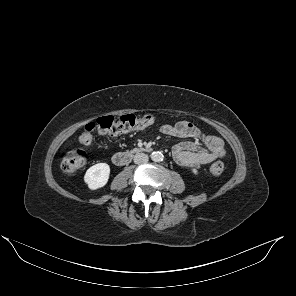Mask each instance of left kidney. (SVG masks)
Segmentation results:
<instances>
[{"instance_id": "5707ae66", "label": "left kidney", "mask_w": 296, "mask_h": 296, "mask_svg": "<svg viewBox=\"0 0 296 296\" xmlns=\"http://www.w3.org/2000/svg\"><path fill=\"white\" fill-rule=\"evenodd\" d=\"M193 174L197 175L198 174V171L196 169H193L192 170Z\"/></svg>"}]
</instances>
